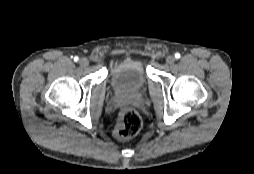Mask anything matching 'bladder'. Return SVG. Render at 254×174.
<instances>
[{"label": "bladder", "instance_id": "obj_1", "mask_svg": "<svg viewBox=\"0 0 254 174\" xmlns=\"http://www.w3.org/2000/svg\"><path fill=\"white\" fill-rule=\"evenodd\" d=\"M109 72L112 86L120 92L136 93L146 85V69L141 59H124L113 64Z\"/></svg>", "mask_w": 254, "mask_h": 174}]
</instances>
